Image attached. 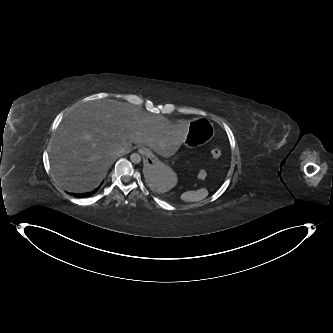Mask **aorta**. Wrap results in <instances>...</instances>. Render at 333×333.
<instances>
[{"mask_svg": "<svg viewBox=\"0 0 333 333\" xmlns=\"http://www.w3.org/2000/svg\"><path fill=\"white\" fill-rule=\"evenodd\" d=\"M130 160L132 163L138 164L141 162V156L138 153H133L130 155Z\"/></svg>", "mask_w": 333, "mask_h": 333, "instance_id": "762f6f07", "label": "aorta"}]
</instances>
